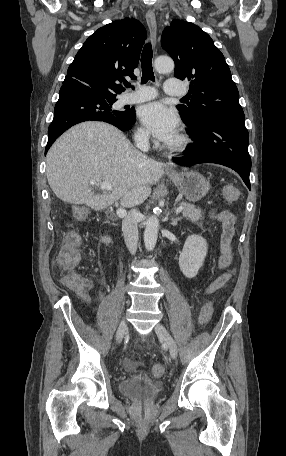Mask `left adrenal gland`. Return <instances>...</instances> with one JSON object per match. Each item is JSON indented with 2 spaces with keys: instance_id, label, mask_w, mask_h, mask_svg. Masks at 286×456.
I'll use <instances>...</instances> for the list:
<instances>
[{
  "instance_id": "obj_1",
  "label": "left adrenal gland",
  "mask_w": 286,
  "mask_h": 456,
  "mask_svg": "<svg viewBox=\"0 0 286 456\" xmlns=\"http://www.w3.org/2000/svg\"><path fill=\"white\" fill-rule=\"evenodd\" d=\"M168 215H170V213H168ZM180 220H181V217L172 218L171 225L176 226Z\"/></svg>"
}]
</instances>
